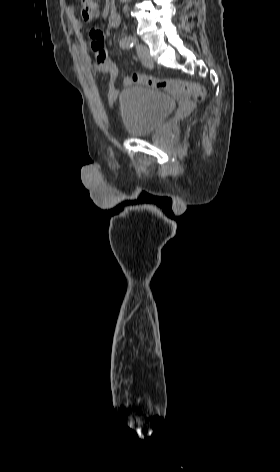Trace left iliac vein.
<instances>
[{
	"instance_id": "obj_1",
	"label": "left iliac vein",
	"mask_w": 280,
	"mask_h": 472,
	"mask_svg": "<svg viewBox=\"0 0 280 472\" xmlns=\"http://www.w3.org/2000/svg\"><path fill=\"white\" fill-rule=\"evenodd\" d=\"M137 55L142 62V64L146 67H152L154 62L152 57L150 56L149 49L147 46L143 44L136 45Z\"/></svg>"
}]
</instances>
